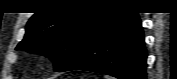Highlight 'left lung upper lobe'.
<instances>
[{
	"label": "left lung upper lobe",
	"instance_id": "5c2ea615",
	"mask_svg": "<svg viewBox=\"0 0 177 79\" xmlns=\"http://www.w3.org/2000/svg\"><path fill=\"white\" fill-rule=\"evenodd\" d=\"M106 13L102 10L35 13L28 21L25 37L16 49L48 56L54 61L55 70L59 71Z\"/></svg>",
	"mask_w": 177,
	"mask_h": 79
}]
</instances>
